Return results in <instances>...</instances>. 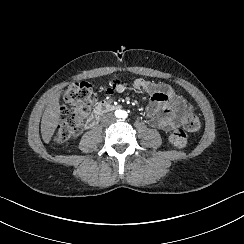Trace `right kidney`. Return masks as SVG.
<instances>
[{"instance_id":"obj_1","label":"right kidney","mask_w":244,"mask_h":244,"mask_svg":"<svg viewBox=\"0 0 244 244\" xmlns=\"http://www.w3.org/2000/svg\"><path fill=\"white\" fill-rule=\"evenodd\" d=\"M76 145H77V142H73V143L71 144V147L74 148Z\"/></svg>"}]
</instances>
